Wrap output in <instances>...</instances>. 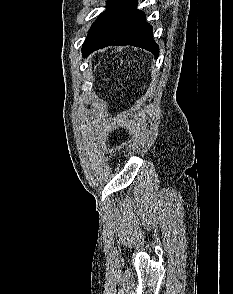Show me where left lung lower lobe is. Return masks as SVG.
Instances as JSON below:
<instances>
[{"instance_id":"left-lung-lower-lobe-1","label":"left lung lower lobe","mask_w":233,"mask_h":294,"mask_svg":"<svg viewBox=\"0 0 233 294\" xmlns=\"http://www.w3.org/2000/svg\"><path fill=\"white\" fill-rule=\"evenodd\" d=\"M110 45L144 48L157 58L159 46L145 14L137 10V0H112L98 19L82 47L83 57Z\"/></svg>"}]
</instances>
